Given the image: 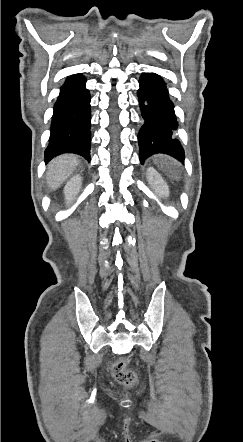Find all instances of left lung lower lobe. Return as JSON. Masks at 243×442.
Wrapping results in <instances>:
<instances>
[{
  "label": "left lung lower lobe",
  "instance_id": "obj_1",
  "mask_svg": "<svg viewBox=\"0 0 243 442\" xmlns=\"http://www.w3.org/2000/svg\"><path fill=\"white\" fill-rule=\"evenodd\" d=\"M139 84L137 94L145 120L138 134L141 163L157 153L168 154L183 162L184 150L173 135L178 122L166 83L155 73H144Z\"/></svg>",
  "mask_w": 243,
  "mask_h": 442
}]
</instances>
